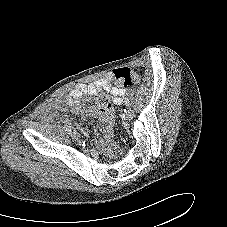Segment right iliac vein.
Wrapping results in <instances>:
<instances>
[{
    "mask_svg": "<svg viewBox=\"0 0 227 227\" xmlns=\"http://www.w3.org/2000/svg\"><path fill=\"white\" fill-rule=\"evenodd\" d=\"M71 137H72V139H74V140H76V141L80 139L79 134L76 133V132L71 133Z\"/></svg>",
    "mask_w": 227,
    "mask_h": 227,
    "instance_id": "1",
    "label": "right iliac vein"
}]
</instances>
